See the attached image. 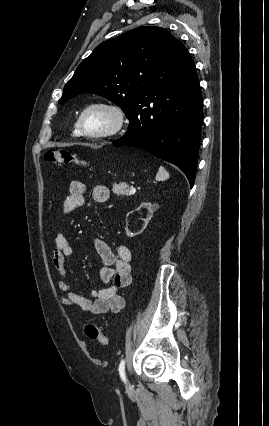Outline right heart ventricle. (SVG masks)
Segmentation results:
<instances>
[{"instance_id": "obj_1", "label": "right heart ventricle", "mask_w": 269, "mask_h": 426, "mask_svg": "<svg viewBox=\"0 0 269 426\" xmlns=\"http://www.w3.org/2000/svg\"><path fill=\"white\" fill-rule=\"evenodd\" d=\"M73 133H74L75 136H78L80 134L79 130H78V127H77V124H75V126H74Z\"/></svg>"}]
</instances>
